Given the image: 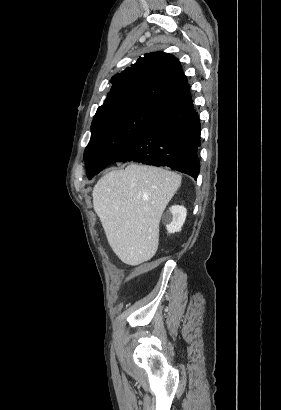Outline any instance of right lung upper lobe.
<instances>
[{
  "instance_id": "right-lung-upper-lobe-1",
  "label": "right lung upper lobe",
  "mask_w": 281,
  "mask_h": 410,
  "mask_svg": "<svg viewBox=\"0 0 281 410\" xmlns=\"http://www.w3.org/2000/svg\"><path fill=\"white\" fill-rule=\"evenodd\" d=\"M111 83V91L97 111L132 103L165 109L190 95L180 62L164 52L145 54L131 67L112 77Z\"/></svg>"
}]
</instances>
